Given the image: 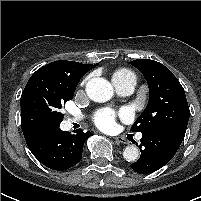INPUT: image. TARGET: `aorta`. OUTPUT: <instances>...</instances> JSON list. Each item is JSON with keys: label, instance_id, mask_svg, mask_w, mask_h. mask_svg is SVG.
Wrapping results in <instances>:
<instances>
[{"label": "aorta", "instance_id": "obj_1", "mask_svg": "<svg viewBox=\"0 0 201 201\" xmlns=\"http://www.w3.org/2000/svg\"><path fill=\"white\" fill-rule=\"evenodd\" d=\"M86 93L95 102H106L113 96V87L104 78L95 77L86 84ZM123 157L128 162H134L139 157V150L136 146H127L123 151Z\"/></svg>", "mask_w": 201, "mask_h": 201}]
</instances>
